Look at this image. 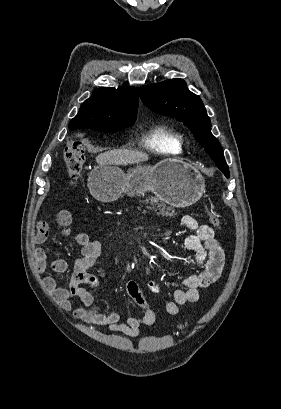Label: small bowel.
Segmentation results:
<instances>
[{
  "label": "small bowel",
  "mask_w": 281,
  "mask_h": 409,
  "mask_svg": "<svg viewBox=\"0 0 281 409\" xmlns=\"http://www.w3.org/2000/svg\"><path fill=\"white\" fill-rule=\"evenodd\" d=\"M58 224L64 236L70 234L72 215L68 210H62L58 214ZM182 224L193 231L187 236L184 245L188 250L195 252V260L200 268L198 273L191 274L183 280L185 289L176 290L172 301L167 304V312L176 315L180 308L187 304L198 301L199 291L217 282L224 269L225 252L215 238L213 229L205 224L199 223L191 216H183ZM37 234L34 237L36 244H42L48 233L50 225L48 222H36L34 225ZM73 242L81 246V256L75 260L74 271L70 285L59 286L51 276L43 280L47 291L58 301L63 310L69 311L74 308V316L84 323L106 326L111 332H119L126 336L135 337L139 335L143 327L151 326L156 321V313L148 305L147 300L141 293L136 281L131 280L126 284L127 294L143 309L140 317H127L123 321L119 312L109 314L102 313L95 305L94 295L80 284L89 285L94 291L100 288V279L88 272L93 266L101 252V242L91 240L84 232L72 236ZM35 260L41 271L49 269L54 273H64L68 269L65 260L50 261L43 247H38L34 252ZM149 287L156 290V285L150 283Z\"/></svg>",
  "instance_id": "obj_1"
}]
</instances>
